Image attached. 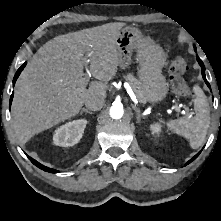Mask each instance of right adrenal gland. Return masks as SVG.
Masks as SVG:
<instances>
[{"label":"right adrenal gland","mask_w":221,"mask_h":221,"mask_svg":"<svg viewBox=\"0 0 221 221\" xmlns=\"http://www.w3.org/2000/svg\"><path fill=\"white\" fill-rule=\"evenodd\" d=\"M83 112L88 113V114H90V115L94 114V112L88 110L87 108H83V109L81 110L80 114H82Z\"/></svg>","instance_id":"1"}]
</instances>
